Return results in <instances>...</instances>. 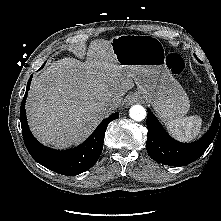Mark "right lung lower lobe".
Masks as SVG:
<instances>
[{
    "label": "right lung lower lobe",
    "instance_id": "right-lung-lower-lobe-1",
    "mask_svg": "<svg viewBox=\"0 0 221 221\" xmlns=\"http://www.w3.org/2000/svg\"><path fill=\"white\" fill-rule=\"evenodd\" d=\"M31 78L32 75L20 109L22 135L28 152L39 164L62 175L73 176L87 171L100 157L108 123L119 117L118 112L104 119L86 141L73 149L58 151L45 147L34 138L27 124L25 102Z\"/></svg>",
    "mask_w": 221,
    "mask_h": 221
}]
</instances>
